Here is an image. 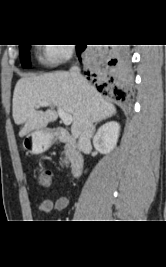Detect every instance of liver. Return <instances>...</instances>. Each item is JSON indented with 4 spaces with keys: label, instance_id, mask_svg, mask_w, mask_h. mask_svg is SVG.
<instances>
[{
    "label": "liver",
    "instance_id": "1",
    "mask_svg": "<svg viewBox=\"0 0 166 267\" xmlns=\"http://www.w3.org/2000/svg\"><path fill=\"white\" fill-rule=\"evenodd\" d=\"M86 81V80H85ZM40 102H48L72 115L71 132L79 137L87 119L99 122L116 112L113 104L86 81V88L78 85L69 72L56 71L40 76L22 77L13 93V119L24 124L19 135L23 137L33 130L45 128L58 118L55 110H38Z\"/></svg>",
    "mask_w": 166,
    "mask_h": 267
}]
</instances>
